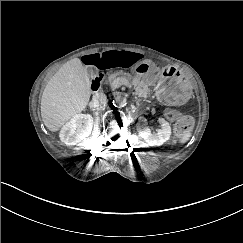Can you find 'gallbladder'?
<instances>
[{"mask_svg":"<svg viewBox=\"0 0 243 243\" xmlns=\"http://www.w3.org/2000/svg\"><path fill=\"white\" fill-rule=\"evenodd\" d=\"M86 73L90 76H94L98 73V70L96 68L92 67V66H88L86 68Z\"/></svg>","mask_w":243,"mask_h":243,"instance_id":"1","label":"gallbladder"}]
</instances>
